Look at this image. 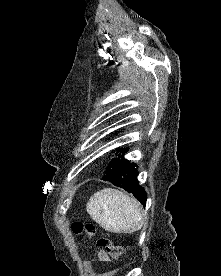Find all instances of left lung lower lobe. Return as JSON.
<instances>
[{"instance_id": "obj_1", "label": "left lung lower lobe", "mask_w": 221, "mask_h": 276, "mask_svg": "<svg viewBox=\"0 0 221 276\" xmlns=\"http://www.w3.org/2000/svg\"><path fill=\"white\" fill-rule=\"evenodd\" d=\"M127 151L124 150L121 152L126 153ZM118 156L110 160L108 166L105 168L102 179L133 194L145 206L147 196L144 188L139 185L137 179L138 173L135 168L137 165L130 163L123 156H120V154Z\"/></svg>"}]
</instances>
